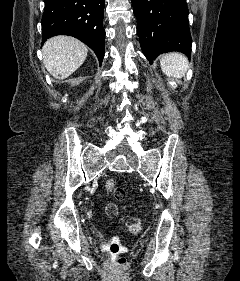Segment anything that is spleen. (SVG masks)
I'll list each match as a JSON object with an SVG mask.
<instances>
[{
	"label": "spleen",
	"instance_id": "obj_1",
	"mask_svg": "<svg viewBox=\"0 0 240 281\" xmlns=\"http://www.w3.org/2000/svg\"><path fill=\"white\" fill-rule=\"evenodd\" d=\"M187 58L177 52L164 54L160 59L163 73L168 77L182 78L188 69Z\"/></svg>",
	"mask_w": 240,
	"mask_h": 281
}]
</instances>
